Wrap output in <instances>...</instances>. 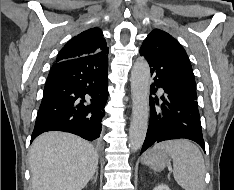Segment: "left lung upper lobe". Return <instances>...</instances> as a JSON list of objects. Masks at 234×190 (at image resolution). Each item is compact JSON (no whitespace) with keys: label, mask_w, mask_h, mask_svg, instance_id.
Masks as SVG:
<instances>
[{"label":"left lung upper lobe","mask_w":234,"mask_h":190,"mask_svg":"<svg viewBox=\"0 0 234 190\" xmlns=\"http://www.w3.org/2000/svg\"><path fill=\"white\" fill-rule=\"evenodd\" d=\"M141 48L156 50L166 48L173 82L190 98L197 100L195 78L187 53L170 34L154 29L144 40Z\"/></svg>","instance_id":"left-lung-upper-lobe-1"}]
</instances>
